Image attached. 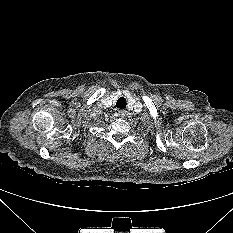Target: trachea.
Returning a JSON list of instances; mask_svg holds the SVG:
<instances>
[{"mask_svg":"<svg viewBox=\"0 0 233 233\" xmlns=\"http://www.w3.org/2000/svg\"><path fill=\"white\" fill-rule=\"evenodd\" d=\"M127 105V101L124 97H120L116 102V107L119 109H125Z\"/></svg>","mask_w":233,"mask_h":233,"instance_id":"obj_1","label":"trachea"}]
</instances>
